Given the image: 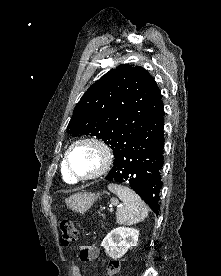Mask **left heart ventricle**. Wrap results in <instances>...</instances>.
Returning a JSON list of instances; mask_svg holds the SVG:
<instances>
[{
	"mask_svg": "<svg viewBox=\"0 0 221 276\" xmlns=\"http://www.w3.org/2000/svg\"><path fill=\"white\" fill-rule=\"evenodd\" d=\"M101 164V154L94 146L79 145L70 154L73 172L80 176L94 173Z\"/></svg>",
	"mask_w": 221,
	"mask_h": 276,
	"instance_id": "obj_1",
	"label": "left heart ventricle"
}]
</instances>
